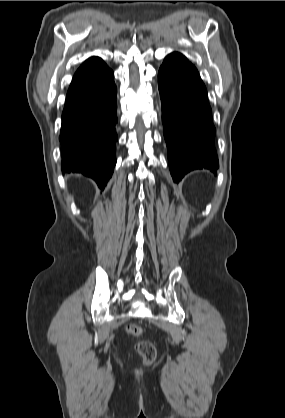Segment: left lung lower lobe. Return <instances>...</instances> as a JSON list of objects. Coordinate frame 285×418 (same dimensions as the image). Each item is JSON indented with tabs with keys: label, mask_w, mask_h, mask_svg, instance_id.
Wrapping results in <instances>:
<instances>
[{
	"label": "left lung lower lobe",
	"mask_w": 285,
	"mask_h": 418,
	"mask_svg": "<svg viewBox=\"0 0 285 418\" xmlns=\"http://www.w3.org/2000/svg\"><path fill=\"white\" fill-rule=\"evenodd\" d=\"M158 88L174 182L194 169H218L216 129L207 90L196 67L181 53L169 54L158 72Z\"/></svg>",
	"instance_id": "left-lung-lower-lobe-1"
}]
</instances>
